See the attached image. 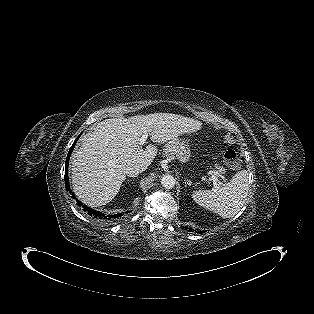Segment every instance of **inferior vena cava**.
<instances>
[{"label":"inferior vena cava","instance_id":"1","mask_svg":"<svg viewBox=\"0 0 314 314\" xmlns=\"http://www.w3.org/2000/svg\"><path fill=\"white\" fill-rule=\"evenodd\" d=\"M144 168L138 164H130L126 167L125 173L129 177H136L139 173L143 172Z\"/></svg>","mask_w":314,"mask_h":314}]
</instances>
